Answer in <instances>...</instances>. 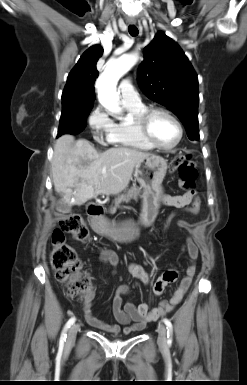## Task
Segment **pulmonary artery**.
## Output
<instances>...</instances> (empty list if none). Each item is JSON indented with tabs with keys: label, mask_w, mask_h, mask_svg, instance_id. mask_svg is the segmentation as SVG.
Masks as SVG:
<instances>
[{
	"label": "pulmonary artery",
	"mask_w": 247,
	"mask_h": 385,
	"mask_svg": "<svg viewBox=\"0 0 247 385\" xmlns=\"http://www.w3.org/2000/svg\"><path fill=\"white\" fill-rule=\"evenodd\" d=\"M119 88L123 104L138 105L141 103L138 92L134 89L129 80H123Z\"/></svg>",
	"instance_id": "e3ab8cb5"
}]
</instances>
